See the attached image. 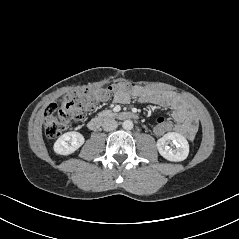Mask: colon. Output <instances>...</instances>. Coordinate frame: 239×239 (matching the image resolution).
Wrapping results in <instances>:
<instances>
[{"label": "colon", "mask_w": 239, "mask_h": 239, "mask_svg": "<svg viewBox=\"0 0 239 239\" xmlns=\"http://www.w3.org/2000/svg\"><path fill=\"white\" fill-rule=\"evenodd\" d=\"M130 90V85L121 84L69 92L59 105L53 103L45 108L43 118L46 135L50 138L58 137L73 123L94 111L100 103L109 100L114 93ZM152 130L157 138H164L173 130V123L165 116H157L152 120Z\"/></svg>", "instance_id": "obj_1"}]
</instances>
